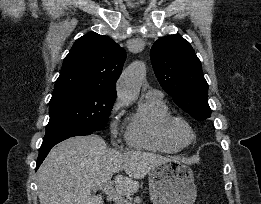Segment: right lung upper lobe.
I'll return each instance as SVG.
<instances>
[{
	"mask_svg": "<svg viewBox=\"0 0 261 204\" xmlns=\"http://www.w3.org/2000/svg\"><path fill=\"white\" fill-rule=\"evenodd\" d=\"M126 53L111 38L88 33L77 39L65 57L53 95L91 90L116 97V81Z\"/></svg>",
	"mask_w": 261,
	"mask_h": 204,
	"instance_id": "right-lung-upper-lobe-1",
	"label": "right lung upper lobe"
}]
</instances>
